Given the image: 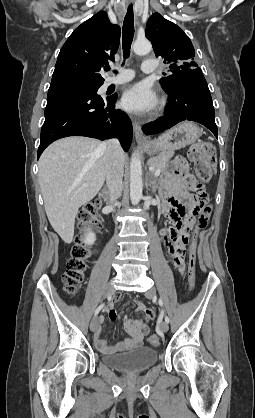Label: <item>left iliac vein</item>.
I'll return each mask as SVG.
<instances>
[{
    "instance_id": "obj_1",
    "label": "left iliac vein",
    "mask_w": 255,
    "mask_h": 418,
    "mask_svg": "<svg viewBox=\"0 0 255 418\" xmlns=\"http://www.w3.org/2000/svg\"><path fill=\"white\" fill-rule=\"evenodd\" d=\"M155 294H156V290H155V288H151V289H149V290L145 293L146 297H148V298H153V297L155 296ZM160 329H161L163 332H167V331L169 330L168 323H167V322H165V321H163V322L160 324Z\"/></svg>"
}]
</instances>
